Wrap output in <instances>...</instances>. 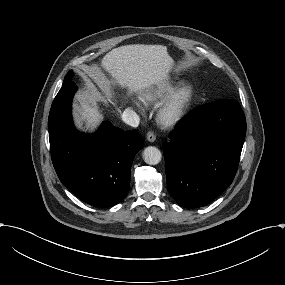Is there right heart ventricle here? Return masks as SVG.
I'll use <instances>...</instances> for the list:
<instances>
[{"label": "right heart ventricle", "instance_id": "e07e8e85", "mask_svg": "<svg viewBox=\"0 0 285 285\" xmlns=\"http://www.w3.org/2000/svg\"><path fill=\"white\" fill-rule=\"evenodd\" d=\"M175 79H163L153 83L140 94V99L148 104L161 102L177 85Z\"/></svg>", "mask_w": 285, "mask_h": 285}]
</instances>
